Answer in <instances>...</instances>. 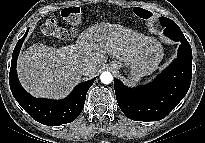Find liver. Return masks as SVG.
<instances>
[{
	"label": "liver",
	"instance_id": "obj_1",
	"mask_svg": "<svg viewBox=\"0 0 205 143\" xmlns=\"http://www.w3.org/2000/svg\"><path fill=\"white\" fill-rule=\"evenodd\" d=\"M161 45L155 39L118 24L97 23L79 36L75 44L55 48L33 44L17 61L19 80L34 96L62 98L80 81L81 66H95L94 76L108 57L129 65H149L152 72L159 60L153 56Z\"/></svg>",
	"mask_w": 205,
	"mask_h": 143
}]
</instances>
